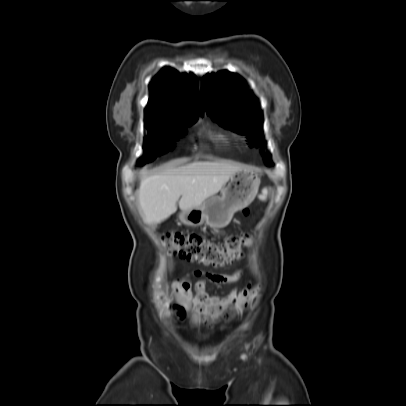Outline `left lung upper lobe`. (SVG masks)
Segmentation results:
<instances>
[{
  "instance_id": "5c2ea615",
  "label": "left lung upper lobe",
  "mask_w": 406,
  "mask_h": 406,
  "mask_svg": "<svg viewBox=\"0 0 406 406\" xmlns=\"http://www.w3.org/2000/svg\"><path fill=\"white\" fill-rule=\"evenodd\" d=\"M201 95L207 113L217 123L247 135L250 147L263 144L259 104L237 74L221 71L204 76ZM265 160L272 165L269 155H265Z\"/></svg>"
}]
</instances>
